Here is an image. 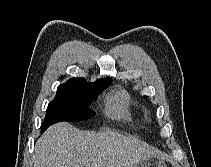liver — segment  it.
Returning a JSON list of instances; mask_svg holds the SVG:
<instances>
[{
    "mask_svg": "<svg viewBox=\"0 0 211 167\" xmlns=\"http://www.w3.org/2000/svg\"><path fill=\"white\" fill-rule=\"evenodd\" d=\"M155 151L118 132L95 134L58 123L38 139L34 167H134Z\"/></svg>",
    "mask_w": 211,
    "mask_h": 167,
    "instance_id": "obj_1",
    "label": "liver"
}]
</instances>
